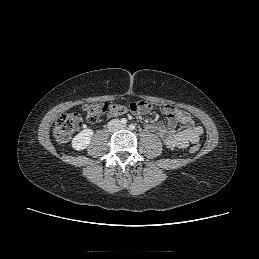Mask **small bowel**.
<instances>
[{"instance_id":"small-bowel-1","label":"small bowel","mask_w":259,"mask_h":259,"mask_svg":"<svg viewBox=\"0 0 259 259\" xmlns=\"http://www.w3.org/2000/svg\"><path fill=\"white\" fill-rule=\"evenodd\" d=\"M139 106L147 108L145 103H139ZM136 110H139L138 104H135ZM134 108V105H131ZM148 108L137 113H146L151 110ZM168 118V124L150 123L146 125V129L158 135L164 144L170 148H186L190 143H197L203 134V127L193 120L187 112L171 105L160 108ZM181 124L184 129L178 130L177 126Z\"/></svg>"}]
</instances>
